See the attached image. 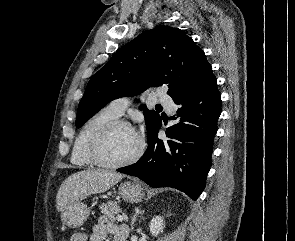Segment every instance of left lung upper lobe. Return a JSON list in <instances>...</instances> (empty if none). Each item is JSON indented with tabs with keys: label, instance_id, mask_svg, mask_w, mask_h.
Listing matches in <instances>:
<instances>
[{
	"label": "left lung upper lobe",
	"instance_id": "obj_1",
	"mask_svg": "<svg viewBox=\"0 0 295 241\" xmlns=\"http://www.w3.org/2000/svg\"><path fill=\"white\" fill-rule=\"evenodd\" d=\"M213 75L206 56L179 28L158 26L124 45L90 79L78 106L80 128L110 101L134 96L150 86L167 85L175 99ZM148 139L161 123L160 115L141 105Z\"/></svg>",
	"mask_w": 295,
	"mask_h": 241
}]
</instances>
